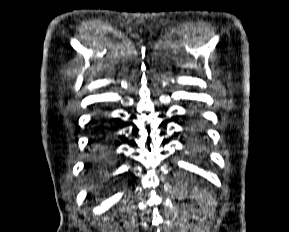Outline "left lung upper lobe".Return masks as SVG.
Here are the masks:
<instances>
[{
  "mask_svg": "<svg viewBox=\"0 0 289 232\" xmlns=\"http://www.w3.org/2000/svg\"><path fill=\"white\" fill-rule=\"evenodd\" d=\"M189 129L193 135H201L202 127L198 123H191Z\"/></svg>",
  "mask_w": 289,
  "mask_h": 232,
  "instance_id": "1",
  "label": "left lung upper lobe"
}]
</instances>
